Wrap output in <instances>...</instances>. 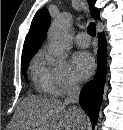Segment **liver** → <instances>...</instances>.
I'll return each instance as SVG.
<instances>
[{"mask_svg":"<svg viewBox=\"0 0 123 130\" xmlns=\"http://www.w3.org/2000/svg\"><path fill=\"white\" fill-rule=\"evenodd\" d=\"M86 118L82 110L67 109L56 98L28 96L19 103L9 130H83Z\"/></svg>","mask_w":123,"mask_h":130,"instance_id":"6515ba94","label":"liver"}]
</instances>
